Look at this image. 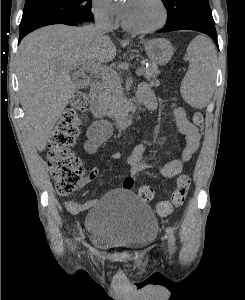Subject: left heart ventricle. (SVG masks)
Masks as SVG:
<instances>
[{"label": "left heart ventricle", "instance_id": "obj_1", "mask_svg": "<svg viewBox=\"0 0 245 300\" xmlns=\"http://www.w3.org/2000/svg\"><path fill=\"white\" fill-rule=\"evenodd\" d=\"M161 16V9L156 0H127L122 11L124 21L134 27L156 25Z\"/></svg>", "mask_w": 245, "mask_h": 300}]
</instances>
